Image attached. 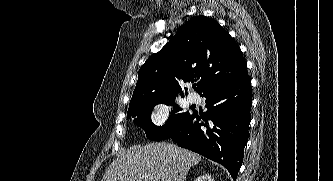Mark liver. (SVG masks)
<instances>
[{
    "instance_id": "liver-1",
    "label": "liver",
    "mask_w": 333,
    "mask_h": 181,
    "mask_svg": "<svg viewBox=\"0 0 333 181\" xmlns=\"http://www.w3.org/2000/svg\"><path fill=\"white\" fill-rule=\"evenodd\" d=\"M200 161L199 154L173 144L136 146L115 159L101 181H185L189 169Z\"/></svg>"
}]
</instances>
